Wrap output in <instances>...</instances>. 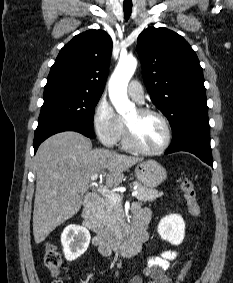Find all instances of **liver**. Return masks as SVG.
Here are the masks:
<instances>
[{
    "instance_id": "liver-1",
    "label": "liver",
    "mask_w": 233,
    "mask_h": 283,
    "mask_svg": "<svg viewBox=\"0 0 233 283\" xmlns=\"http://www.w3.org/2000/svg\"><path fill=\"white\" fill-rule=\"evenodd\" d=\"M143 158L92 149L90 139L74 131L45 140L35 156L36 192L33 235L37 244L60 224L78 213L91 177L100 175L109 187H117L123 172Z\"/></svg>"
}]
</instances>
